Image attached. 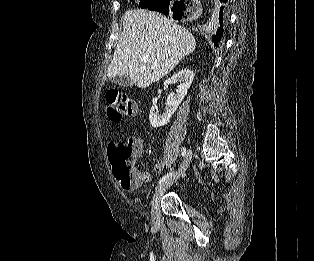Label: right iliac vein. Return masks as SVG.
Segmentation results:
<instances>
[{
  "instance_id": "right-iliac-vein-1",
  "label": "right iliac vein",
  "mask_w": 314,
  "mask_h": 261,
  "mask_svg": "<svg viewBox=\"0 0 314 261\" xmlns=\"http://www.w3.org/2000/svg\"><path fill=\"white\" fill-rule=\"evenodd\" d=\"M192 158V151L189 150L181 164V166L179 167L178 171L172 175L170 178H168L167 180L163 181L158 188L156 189V192L153 196L152 202H151V217H152V221L153 223H158L159 220V204H160V200L163 196V194L165 193V191L170 188L177 180L180 179V177L184 174V172L186 171V169L189 166V163L191 161Z\"/></svg>"
}]
</instances>
